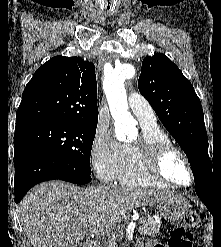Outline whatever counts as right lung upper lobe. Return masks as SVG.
<instances>
[{"mask_svg": "<svg viewBox=\"0 0 221 247\" xmlns=\"http://www.w3.org/2000/svg\"><path fill=\"white\" fill-rule=\"evenodd\" d=\"M58 122L97 125L93 63L79 57H53L34 73L24 89L15 129Z\"/></svg>", "mask_w": 221, "mask_h": 247, "instance_id": "cb5924a9", "label": "right lung upper lobe"}]
</instances>
